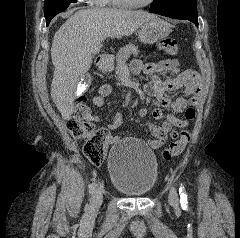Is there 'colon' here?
Returning <instances> with one entry per match:
<instances>
[{"label":"colon","instance_id":"obj_1","mask_svg":"<svg viewBox=\"0 0 240 238\" xmlns=\"http://www.w3.org/2000/svg\"><path fill=\"white\" fill-rule=\"evenodd\" d=\"M158 48L170 56L178 54L177 42L172 38H165L158 43ZM90 114V107L85 97L77 100L73 115L68 119L67 127L71 135L79 140H85L84 154L94 163H100L106 151L107 132L104 129L93 128L87 121ZM176 140L173 141L162 153L165 160L179 156L185 149L190 140V134L187 131L174 135Z\"/></svg>","mask_w":240,"mask_h":238}]
</instances>
